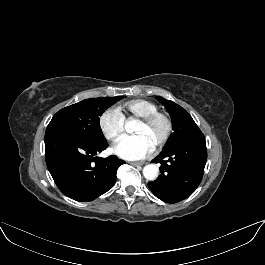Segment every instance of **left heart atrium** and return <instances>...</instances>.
Segmentation results:
<instances>
[{
    "mask_svg": "<svg viewBox=\"0 0 265 265\" xmlns=\"http://www.w3.org/2000/svg\"><path fill=\"white\" fill-rule=\"evenodd\" d=\"M154 146L142 134L123 137L114 147V152L126 160H138L146 157Z\"/></svg>",
    "mask_w": 265,
    "mask_h": 265,
    "instance_id": "left-heart-atrium-1",
    "label": "left heart atrium"
}]
</instances>
